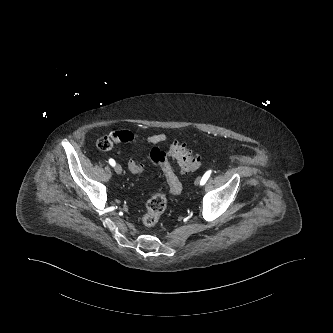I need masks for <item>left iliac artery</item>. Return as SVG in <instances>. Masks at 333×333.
I'll return each instance as SVG.
<instances>
[{
    "mask_svg": "<svg viewBox=\"0 0 333 333\" xmlns=\"http://www.w3.org/2000/svg\"><path fill=\"white\" fill-rule=\"evenodd\" d=\"M211 170H208L202 177L201 181H200V185H204L206 183V181L208 180V178L211 175Z\"/></svg>",
    "mask_w": 333,
    "mask_h": 333,
    "instance_id": "obj_1",
    "label": "left iliac artery"
}]
</instances>
